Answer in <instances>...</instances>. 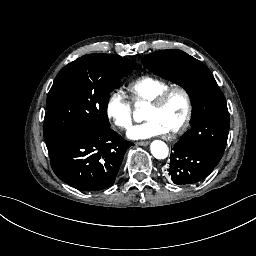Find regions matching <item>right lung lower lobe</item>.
<instances>
[{
    "mask_svg": "<svg viewBox=\"0 0 256 256\" xmlns=\"http://www.w3.org/2000/svg\"><path fill=\"white\" fill-rule=\"evenodd\" d=\"M46 145L59 179L79 190L98 191L114 184L123 156L133 143L109 128L79 137H56Z\"/></svg>",
    "mask_w": 256,
    "mask_h": 256,
    "instance_id": "98d812e1",
    "label": "right lung lower lobe"
}]
</instances>
